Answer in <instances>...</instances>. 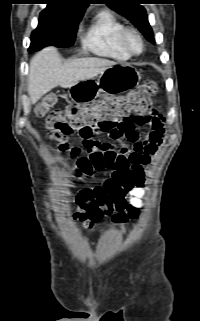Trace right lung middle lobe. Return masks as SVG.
<instances>
[{
	"mask_svg": "<svg viewBox=\"0 0 200 321\" xmlns=\"http://www.w3.org/2000/svg\"><path fill=\"white\" fill-rule=\"evenodd\" d=\"M84 12L69 15H53L44 9L39 16L37 28L31 34L29 51H37L45 46L70 47L76 37L78 23Z\"/></svg>",
	"mask_w": 200,
	"mask_h": 321,
	"instance_id": "1",
	"label": "right lung middle lobe"
}]
</instances>
